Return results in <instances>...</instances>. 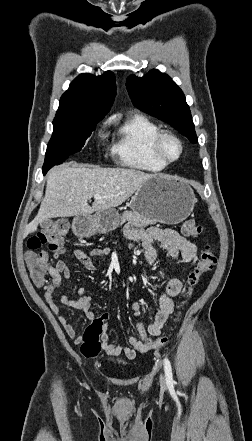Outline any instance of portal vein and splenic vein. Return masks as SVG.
Here are the masks:
<instances>
[{
  "label": "portal vein and splenic vein",
  "instance_id": "18ae733b",
  "mask_svg": "<svg viewBox=\"0 0 252 441\" xmlns=\"http://www.w3.org/2000/svg\"><path fill=\"white\" fill-rule=\"evenodd\" d=\"M94 198L99 199V198H101V196L99 194H95Z\"/></svg>",
  "mask_w": 252,
  "mask_h": 441
}]
</instances>
